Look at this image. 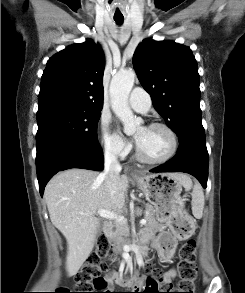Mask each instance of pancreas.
<instances>
[{"label":"pancreas","instance_id":"cf45deb5","mask_svg":"<svg viewBox=\"0 0 245 293\" xmlns=\"http://www.w3.org/2000/svg\"><path fill=\"white\" fill-rule=\"evenodd\" d=\"M144 219L147 221L145 225L147 229L158 231L164 228V225L157 220L156 211L151 206H147ZM114 227L115 230L107 237L115 251L122 252L123 245L129 241V227L125 223H116Z\"/></svg>","mask_w":245,"mask_h":293}]
</instances>
